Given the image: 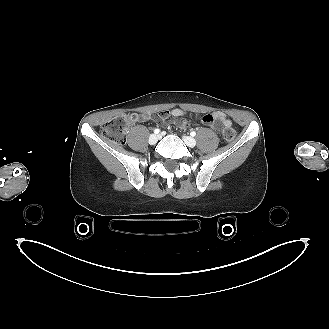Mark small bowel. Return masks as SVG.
Listing matches in <instances>:
<instances>
[{
    "instance_id": "c3829d8e",
    "label": "small bowel",
    "mask_w": 329,
    "mask_h": 329,
    "mask_svg": "<svg viewBox=\"0 0 329 329\" xmlns=\"http://www.w3.org/2000/svg\"><path fill=\"white\" fill-rule=\"evenodd\" d=\"M185 112L179 108H171L165 109L156 114L157 118L160 119L161 122L166 123L172 119L181 125L182 127H187L189 122L187 120H179L180 117L184 116ZM133 121L139 119L141 121H146L150 119L148 114L141 115H132ZM202 122L208 126L213 127L214 129H218L217 123H220L225 128H231L232 122L227 117V115L223 112H214L211 114H206L202 117Z\"/></svg>"
}]
</instances>
